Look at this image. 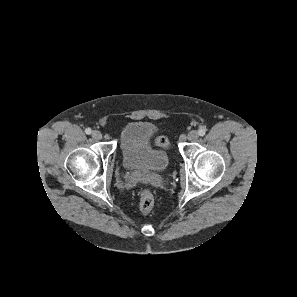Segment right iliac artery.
Returning a JSON list of instances; mask_svg holds the SVG:
<instances>
[{
    "instance_id": "1",
    "label": "right iliac artery",
    "mask_w": 297,
    "mask_h": 297,
    "mask_svg": "<svg viewBox=\"0 0 297 297\" xmlns=\"http://www.w3.org/2000/svg\"><path fill=\"white\" fill-rule=\"evenodd\" d=\"M91 132H92V130H91L90 128H86V129H85V133H86V134L89 135V134H91Z\"/></svg>"
}]
</instances>
